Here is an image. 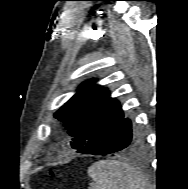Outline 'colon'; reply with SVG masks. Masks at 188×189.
<instances>
[{
	"instance_id": "5ec220e1",
	"label": "colon",
	"mask_w": 188,
	"mask_h": 189,
	"mask_svg": "<svg viewBox=\"0 0 188 189\" xmlns=\"http://www.w3.org/2000/svg\"><path fill=\"white\" fill-rule=\"evenodd\" d=\"M55 189H63V184H62V183H59V184L55 187Z\"/></svg>"
}]
</instances>
